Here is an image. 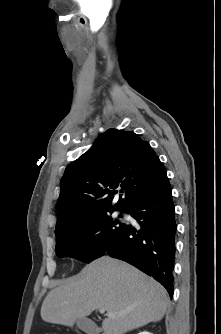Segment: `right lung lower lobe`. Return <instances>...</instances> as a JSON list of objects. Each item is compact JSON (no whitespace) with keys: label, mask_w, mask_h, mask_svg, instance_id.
Returning a JSON list of instances; mask_svg holds the SVG:
<instances>
[{"label":"right lung lower lobe","mask_w":221,"mask_h":334,"mask_svg":"<svg viewBox=\"0 0 221 334\" xmlns=\"http://www.w3.org/2000/svg\"><path fill=\"white\" fill-rule=\"evenodd\" d=\"M141 228L126 225L118 240L106 250L160 282L173 295V269L177 224L172 189L166 177L128 210Z\"/></svg>","instance_id":"obj_1"}]
</instances>
